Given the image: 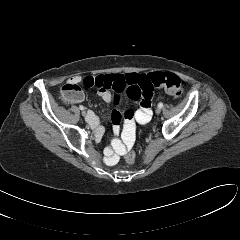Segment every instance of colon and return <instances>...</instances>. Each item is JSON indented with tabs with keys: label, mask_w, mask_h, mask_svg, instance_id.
<instances>
[{
	"label": "colon",
	"mask_w": 240,
	"mask_h": 240,
	"mask_svg": "<svg viewBox=\"0 0 240 240\" xmlns=\"http://www.w3.org/2000/svg\"><path fill=\"white\" fill-rule=\"evenodd\" d=\"M148 78L153 87L163 89L168 94L179 97L184 90V83L174 73L170 72H152L148 75ZM131 94L135 95L136 91L131 90ZM61 96L68 100H74L82 96V91L77 83L68 82L61 89ZM125 119H132L134 116V110L130 107L125 111ZM124 141L127 145V150L124 156V161L127 164H132L135 161V153L131 150L132 144V132L127 131L124 135Z\"/></svg>",
	"instance_id": "obj_1"
}]
</instances>
